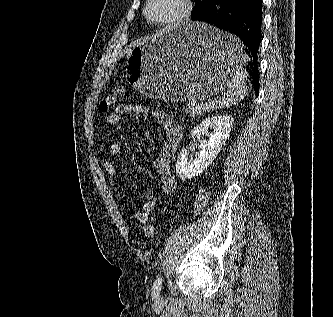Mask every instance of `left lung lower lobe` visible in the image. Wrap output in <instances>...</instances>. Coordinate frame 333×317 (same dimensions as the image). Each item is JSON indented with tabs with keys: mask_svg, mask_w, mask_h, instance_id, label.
Instances as JSON below:
<instances>
[{
	"mask_svg": "<svg viewBox=\"0 0 333 317\" xmlns=\"http://www.w3.org/2000/svg\"><path fill=\"white\" fill-rule=\"evenodd\" d=\"M262 15V0H212L204 10L191 17L193 21L208 23L243 41L251 59L248 72L256 96L259 92L257 53L262 39ZM217 51L227 57L231 55L224 44Z\"/></svg>",
	"mask_w": 333,
	"mask_h": 317,
	"instance_id": "obj_1",
	"label": "left lung lower lobe"
}]
</instances>
